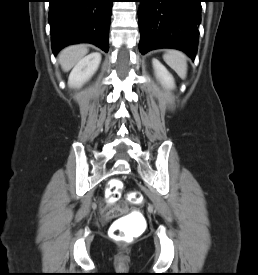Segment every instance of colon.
Masks as SVG:
<instances>
[{"label": "colon", "instance_id": "5ec220e1", "mask_svg": "<svg viewBox=\"0 0 258 275\" xmlns=\"http://www.w3.org/2000/svg\"><path fill=\"white\" fill-rule=\"evenodd\" d=\"M122 182L119 179H112L108 184V200L115 201L117 200L121 190H122ZM129 200L138 204L141 203L143 197L140 192L134 191L131 192L128 196ZM106 217H112L113 212L110 209H106L104 212ZM110 235L112 238L121 240V241H131L133 235L132 232L123 226L120 220H117L110 228Z\"/></svg>", "mask_w": 258, "mask_h": 275}]
</instances>
